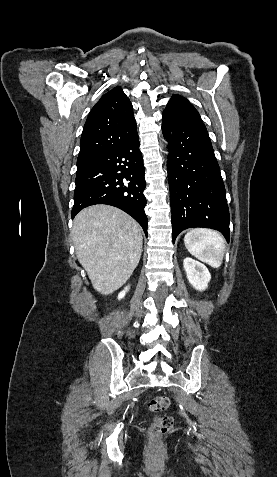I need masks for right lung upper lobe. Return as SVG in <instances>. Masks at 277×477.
Returning <instances> with one entry per match:
<instances>
[{"label":"right lung upper lobe","instance_id":"right-lung-upper-lobe-1","mask_svg":"<svg viewBox=\"0 0 277 477\" xmlns=\"http://www.w3.org/2000/svg\"><path fill=\"white\" fill-rule=\"evenodd\" d=\"M136 132L132 104L117 86L104 94L90 111L81 135L77 165L124 143Z\"/></svg>","mask_w":277,"mask_h":477}]
</instances>
